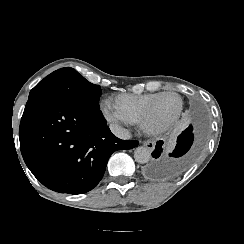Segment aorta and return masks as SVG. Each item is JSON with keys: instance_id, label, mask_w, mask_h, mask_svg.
Listing matches in <instances>:
<instances>
[{"instance_id": "1", "label": "aorta", "mask_w": 244, "mask_h": 244, "mask_svg": "<svg viewBox=\"0 0 244 244\" xmlns=\"http://www.w3.org/2000/svg\"><path fill=\"white\" fill-rule=\"evenodd\" d=\"M151 158V152L146 147H137L134 151V159L136 162L144 164Z\"/></svg>"}]
</instances>
